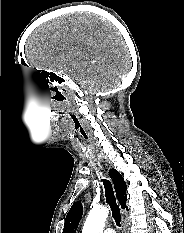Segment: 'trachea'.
<instances>
[{
  "label": "trachea",
  "mask_w": 184,
  "mask_h": 233,
  "mask_svg": "<svg viewBox=\"0 0 184 233\" xmlns=\"http://www.w3.org/2000/svg\"><path fill=\"white\" fill-rule=\"evenodd\" d=\"M80 135L83 139H87V133L85 132V130L83 128H80ZM103 181V185L105 188V197H106V201L108 203V205L110 206V209L112 211V217L114 218L117 226H121L120 225V221H121V214H120V209L119 206L116 203V198L114 195V191L111 185V182L109 180H105L102 179Z\"/></svg>",
  "instance_id": "trachea-1"
}]
</instances>
